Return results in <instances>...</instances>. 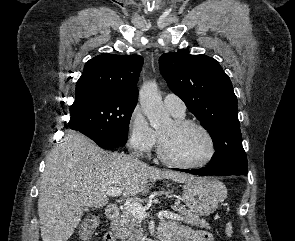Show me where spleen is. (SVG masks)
Masks as SVG:
<instances>
[{
	"instance_id": "3e777b00",
	"label": "spleen",
	"mask_w": 295,
	"mask_h": 241,
	"mask_svg": "<svg viewBox=\"0 0 295 241\" xmlns=\"http://www.w3.org/2000/svg\"><path fill=\"white\" fill-rule=\"evenodd\" d=\"M225 232L228 237H231V235H232V223L231 222H228L226 224Z\"/></svg>"
}]
</instances>
